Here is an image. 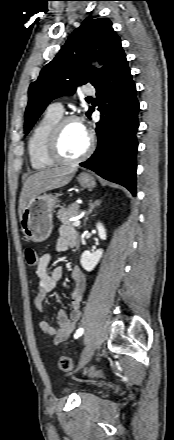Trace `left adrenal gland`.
Returning a JSON list of instances; mask_svg holds the SVG:
<instances>
[{"label": "left adrenal gland", "instance_id": "obj_1", "mask_svg": "<svg viewBox=\"0 0 174 440\" xmlns=\"http://www.w3.org/2000/svg\"><path fill=\"white\" fill-rule=\"evenodd\" d=\"M100 204H101V201H100V200H97V201H95V202H92V200H90V203H89V210L87 211V213H86V215H85V219H84V225H86V222H87V220H88V216H89V214H91L92 211H93V209H94L95 207L99 206Z\"/></svg>", "mask_w": 174, "mask_h": 440}]
</instances>
